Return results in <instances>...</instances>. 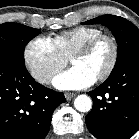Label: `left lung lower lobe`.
Returning <instances> with one entry per match:
<instances>
[{
  "mask_svg": "<svg viewBox=\"0 0 139 139\" xmlns=\"http://www.w3.org/2000/svg\"><path fill=\"white\" fill-rule=\"evenodd\" d=\"M93 108L85 118L98 139H129L139 130V55H134L98 88L88 92Z\"/></svg>",
  "mask_w": 139,
  "mask_h": 139,
  "instance_id": "0a47b994",
  "label": "left lung lower lobe"
}]
</instances>
